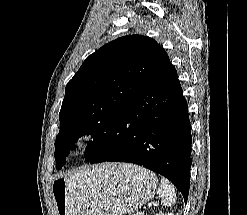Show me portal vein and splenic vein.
I'll use <instances>...</instances> for the list:
<instances>
[{"label":"portal vein and splenic vein","mask_w":247,"mask_h":215,"mask_svg":"<svg viewBox=\"0 0 247 215\" xmlns=\"http://www.w3.org/2000/svg\"><path fill=\"white\" fill-rule=\"evenodd\" d=\"M153 204H155V203H153ZM148 206H149V207L152 206V203H149Z\"/></svg>","instance_id":"portal-vein-and-splenic-vein-1"}]
</instances>
